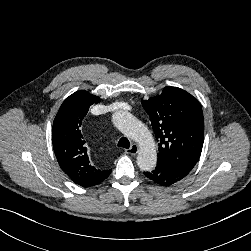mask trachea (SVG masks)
<instances>
[{
    "label": "trachea",
    "mask_w": 251,
    "mask_h": 251,
    "mask_svg": "<svg viewBox=\"0 0 251 251\" xmlns=\"http://www.w3.org/2000/svg\"><path fill=\"white\" fill-rule=\"evenodd\" d=\"M118 146L128 149L130 147V142L126 137H122L118 142Z\"/></svg>",
    "instance_id": "1"
}]
</instances>
